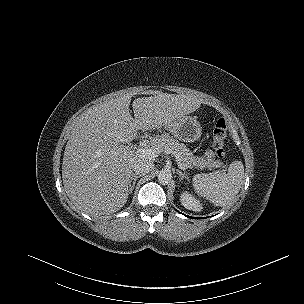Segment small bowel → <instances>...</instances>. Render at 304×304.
Returning a JSON list of instances; mask_svg holds the SVG:
<instances>
[{"mask_svg": "<svg viewBox=\"0 0 304 304\" xmlns=\"http://www.w3.org/2000/svg\"><path fill=\"white\" fill-rule=\"evenodd\" d=\"M205 157H206V158H210V157H211V154H210L209 151L205 152Z\"/></svg>", "mask_w": 304, "mask_h": 304, "instance_id": "obj_1", "label": "small bowel"}]
</instances>
